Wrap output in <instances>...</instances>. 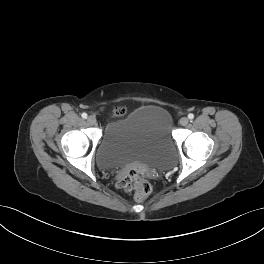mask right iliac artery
<instances>
[{
  "mask_svg": "<svg viewBox=\"0 0 264 264\" xmlns=\"http://www.w3.org/2000/svg\"><path fill=\"white\" fill-rule=\"evenodd\" d=\"M82 118L86 119L87 118V114L86 113H82Z\"/></svg>",
  "mask_w": 264,
  "mask_h": 264,
  "instance_id": "82829eb1",
  "label": "right iliac artery"
}]
</instances>
